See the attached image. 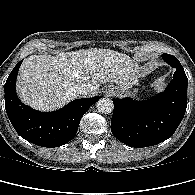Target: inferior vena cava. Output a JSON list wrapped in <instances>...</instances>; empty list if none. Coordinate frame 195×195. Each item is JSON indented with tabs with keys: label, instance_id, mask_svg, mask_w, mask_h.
I'll list each match as a JSON object with an SVG mask.
<instances>
[{
	"label": "inferior vena cava",
	"instance_id": "1",
	"mask_svg": "<svg viewBox=\"0 0 195 195\" xmlns=\"http://www.w3.org/2000/svg\"><path fill=\"white\" fill-rule=\"evenodd\" d=\"M74 92L77 93L78 95H88L90 93V88L89 86L83 84L80 86H76L74 88Z\"/></svg>",
	"mask_w": 195,
	"mask_h": 195
}]
</instances>
